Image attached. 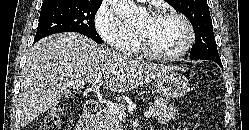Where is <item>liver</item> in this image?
<instances>
[{
  "mask_svg": "<svg viewBox=\"0 0 249 130\" xmlns=\"http://www.w3.org/2000/svg\"><path fill=\"white\" fill-rule=\"evenodd\" d=\"M172 70L169 66L134 60L99 46L80 33L69 32L37 42L22 71L18 103L23 126L52 106L68 89L104 79L113 92H128Z\"/></svg>",
  "mask_w": 249,
  "mask_h": 130,
  "instance_id": "1",
  "label": "liver"
}]
</instances>
